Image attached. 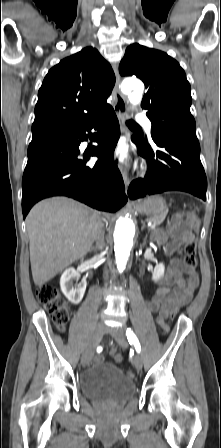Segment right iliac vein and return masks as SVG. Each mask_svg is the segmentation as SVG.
Wrapping results in <instances>:
<instances>
[{
  "label": "right iliac vein",
  "mask_w": 221,
  "mask_h": 448,
  "mask_svg": "<svg viewBox=\"0 0 221 448\" xmlns=\"http://www.w3.org/2000/svg\"><path fill=\"white\" fill-rule=\"evenodd\" d=\"M104 332H105L104 325L98 324L95 327V330L89 340V343L82 354L81 362H82L83 366L89 365V363L93 357L94 350L97 347V345L99 344Z\"/></svg>",
  "instance_id": "1"
}]
</instances>
